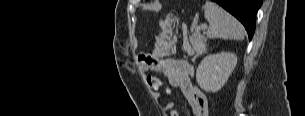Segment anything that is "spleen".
I'll list each match as a JSON object with an SVG mask.
<instances>
[{
    "mask_svg": "<svg viewBox=\"0 0 305 116\" xmlns=\"http://www.w3.org/2000/svg\"><path fill=\"white\" fill-rule=\"evenodd\" d=\"M204 16L209 22L206 35L210 39H244L242 24L230 13L214 2L206 1L203 5Z\"/></svg>",
    "mask_w": 305,
    "mask_h": 116,
    "instance_id": "1",
    "label": "spleen"
}]
</instances>
